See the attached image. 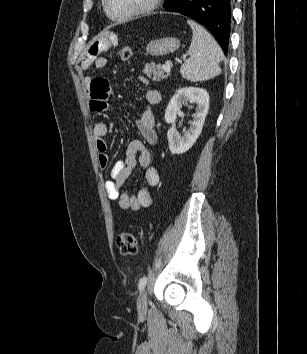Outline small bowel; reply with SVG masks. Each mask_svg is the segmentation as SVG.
I'll use <instances>...</instances> for the list:
<instances>
[{"label":"small bowel","instance_id":"small-bowel-1","mask_svg":"<svg viewBox=\"0 0 307 354\" xmlns=\"http://www.w3.org/2000/svg\"><path fill=\"white\" fill-rule=\"evenodd\" d=\"M117 45V36L114 32H106L88 49L81 61V68L89 70L93 65L96 67H104L106 59L100 56L105 50H110ZM146 83V80L142 78ZM85 86L90 92V106L95 112H105L109 109V83L105 78L87 76L84 80ZM161 94L156 89H147L144 94L145 109L141 114L137 127L144 140L149 144L157 141V133L155 130V118L150 106L159 103ZM109 128L105 122H98L94 125L93 133L98 151L99 165L106 168L109 164L107 155V143L105 141ZM142 140H132L126 150V158L113 163L110 170L111 180L107 181L105 188L108 197L117 200L122 209H130L138 211L151 205L153 197L151 187L158 185L160 175L158 169L151 164L150 153ZM139 164L144 171L147 187L141 188L136 195H129L124 190V184L130 176L136 164Z\"/></svg>","mask_w":307,"mask_h":354}]
</instances>
